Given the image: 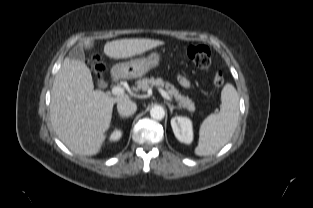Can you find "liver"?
Wrapping results in <instances>:
<instances>
[{"label":"liver","mask_w":313,"mask_h":208,"mask_svg":"<svg viewBox=\"0 0 313 208\" xmlns=\"http://www.w3.org/2000/svg\"><path fill=\"white\" fill-rule=\"evenodd\" d=\"M160 40L134 38L107 42L106 56L125 59L163 45ZM82 46L90 50L93 40ZM129 99L128 95L110 97L94 90L87 66L66 57L55 76L51 91L50 119L58 138L74 153L93 156L100 152L110 127L115 103Z\"/></svg>","instance_id":"1"}]
</instances>
